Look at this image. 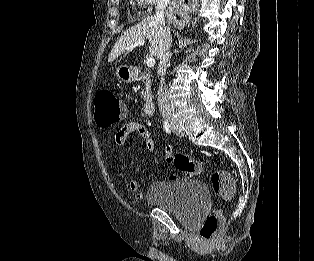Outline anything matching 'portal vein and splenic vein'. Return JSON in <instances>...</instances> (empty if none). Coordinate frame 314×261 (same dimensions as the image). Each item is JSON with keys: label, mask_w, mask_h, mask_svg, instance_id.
Segmentation results:
<instances>
[{"label": "portal vein and splenic vein", "mask_w": 314, "mask_h": 261, "mask_svg": "<svg viewBox=\"0 0 314 261\" xmlns=\"http://www.w3.org/2000/svg\"><path fill=\"white\" fill-rule=\"evenodd\" d=\"M145 44V41L144 40H139L137 42H135L134 44L130 45L127 49L129 51H132L135 47L137 46H143ZM146 65L148 67H153L155 65V59L153 57H147L146 59Z\"/></svg>", "instance_id": "portal-vein-and-splenic-vein-1"}]
</instances>
